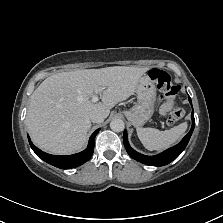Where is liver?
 Segmentation results:
<instances>
[{"mask_svg":"<svg viewBox=\"0 0 223 223\" xmlns=\"http://www.w3.org/2000/svg\"><path fill=\"white\" fill-rule=\"evenodd\" d=\"M149 68L114 66L61 72L47 77L32 93L25 123L33 143L59 155L80 150L91 127L90 114L108 117L110 109L126 100ZM102 102L89 100L101 93Z\"/></svg>","mask_w":223,"mask_h":223,"instance_id":"6515ba94","label":"liver"}]
</instances>
